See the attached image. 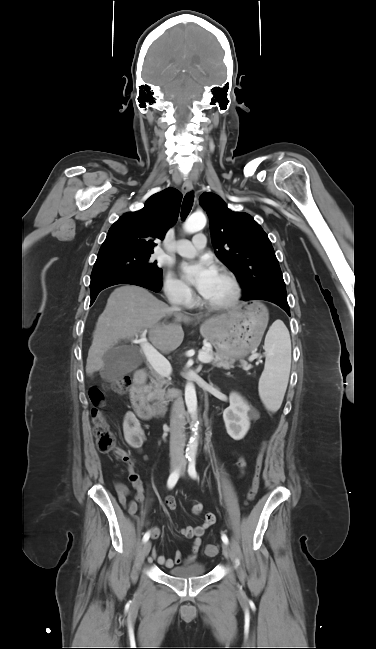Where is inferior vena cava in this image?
I'll return each instance as SVG.
<instances>
[{
    "mask_svg": "<svg viewBox=\"0 0 376 649\" xmlns=\"http://www.w3.org/2000/svg\"><path fill=\"white\" fill-rule=\"evenodd\" d=\"M172 302L175 303L177 300L171 298ZM174 310H180L179 307L174 306ZM175 411L176 415L174 416L171 422V438H170V454L182 456L184 453V421L179 417L184 410L183 401L180 397L176 398L175 401Z\"/></svg>",
    "mask_w": 376,
    "mask_h": 649,
    "instance_id": "obj_1",
    "label": "inferior vena cava"
}]
</instances>
